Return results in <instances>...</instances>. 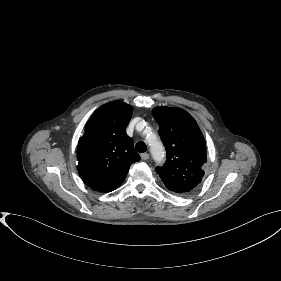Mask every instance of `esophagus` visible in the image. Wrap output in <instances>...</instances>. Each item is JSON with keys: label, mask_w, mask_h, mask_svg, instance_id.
Listing matches in <instances>:
<instances>
[{"label": "esophagus", "mask_w": 281, "mask_h": 281, "mask_svg": "<svg viewBox=\"0 0 281 281\" xmlns=\"http://www.w3.org/2000/svg\"><path fill=\"white\" fill-rule=\"evenodd\" d=\"M141 159L144 160V161L148 160L149 159V154L148 153H142L141 154Z\"/></svg>", "instance_id": "34e87169"}]
</instances>
